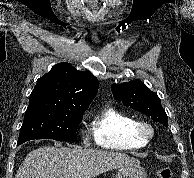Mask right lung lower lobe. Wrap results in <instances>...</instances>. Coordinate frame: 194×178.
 <instances>
[{
    "mask_svg": "<svg viewBox=\"0 0 194 178\" xmlns=\"http://www.w3.org/2000/svg\"><path fill=\"white\" fill-rule=\"evenodd\" d=\"M20 144H22L21 142H17V146H19Z\"/></svg>",
    "mask_w": 194,
    "mask_h": 178,
    "instance_id": "right-lung-lower-lobe-1",
    "label": "right lung lower lobe"
}]
</instances>
